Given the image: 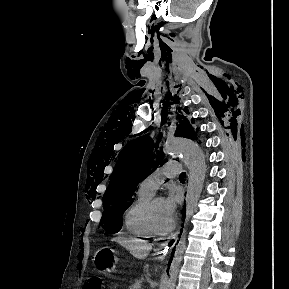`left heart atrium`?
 <instances>
[{
	"label": "left heart atrium",
	"mask_w": 289,
	"mask_h": 289,
	"mask_svg": "<svg viewBox=\"0 0 289 289\" xmlns=\"http://www.w3.org/2000/svg\"><path fill=\"white\" fill-rule=\"evenodd\" d=\"M182 200V195L177 190H170L167 197L163 199L165 212L170 220L174 218L177 206Z\"/></svg>",
	"instance_id": "left-heart-atrium-1"
}]
</instances>
